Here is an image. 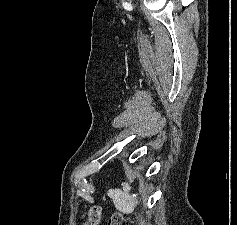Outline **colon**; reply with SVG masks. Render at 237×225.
I'll return each instance as SVG.
<instances>
[{
	"mask_svg": "<svg viewBox=\"0 0 237 225\" xmlns=\"http://www.w3.org/2000/svg\"><path fill=\"white\" fill-rule=\"evenodd\" d=\"M102 210L99 206L89 209L88 218L81 225H98L101 221ZM108 225H131V222L122 214L115 213L108 221Z\"/></svg>",
	"mask_w": 237,
	"mask_h": 225,
	"instance_id": "colon-1",
	"label": "colon"
}]
</instances>
